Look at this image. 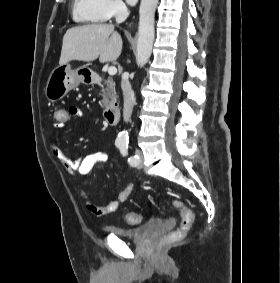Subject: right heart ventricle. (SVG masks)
Listing matches in <instances>:
<instances>
[{
  "label": "right heart ventricle",
  "mask_w": 280,
  "mask_h": 283,
  "mask_svg": "<svg viewBox=\"0 0 280 283\" xmlns=\"http://www.w3.org/2000/svg\"><path fill=\"white\" fill-rule=\"evenodd\" d=\"M73 19L80 23H102L106 16L101 9V0H73Z\"/></svg>",
  "instance_id": "e07e8e85"
}]
</instances>
